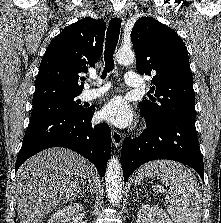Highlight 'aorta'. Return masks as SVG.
<instances>
[{"label":"aorta","mask_w":221,"mask_h":223,"mask_svg":"<svg viewBox=\"0 0 221 223\" xmlns=\"http://www.w3.org/2000/svg\"><path fill=\"white\" fill-rule=\"evenodd\" d=\"M135 54L132 50L120 49L116 53V61L127 65L133 63ZM106 191L112 205H118L122 198V169L117 157H112L108 164L105 176Z\"/></svg>","instance_id":"1"}]
</instances>
